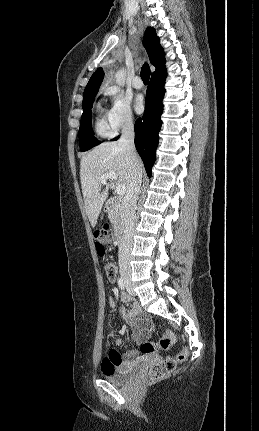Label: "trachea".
<instances>
[{"label": "trachea", "instance_id": "1", "mask_svg": "<svg viewBox=\"0 0 259 431\" xmlns=\"http://www.w3.org/2000/svg\"><path fill=\"white\" fill-rule=\"evenodd\" d=\"M140 76L145 84L149 82L150 68L147 63L142 66Z\"/></svg>", "mask_w": 259, "mask_h": 431}]
</instances>
